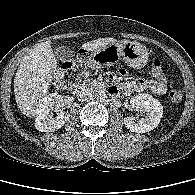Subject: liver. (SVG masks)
Here are the masks:
<instances>
[{
  "label": "liver",
  "instance_id": "obj_1",
  "mask_svg": "<svg viewBox=\"0 0 195 195\" xmlns=\"http://www.w3.org/2000/svg\"><path fill=\"white\" fill-rule=\"evenodd\" d=\"M119 42L114 38H99L82 45L86 51H96L108 44ZM46 41L34 46L18 66L14 79V95L18 108L27 117L37 115V107L48 95L56 71L57 59Z\"/></svg>",
  "mask_w": 195,
  "mask_h": 195
}]
</instances>
